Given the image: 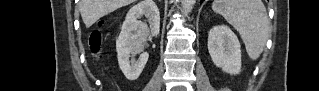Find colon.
I'll return each instance as SVG.
<instances>
[{
    "instance_id": "colon-1",
    "label": "colon",
    "mask_w": 319,
    "mask_h": 91,
    "mask_svg": "<svg viewBox=\"0 0 319 91\" xmlns=\"http://www.w3.org/2000/svg\"><path fill=\"white\" fill-rule=\"evenodd\" d=\"M101 43H102V33H101V31L99 29L98 30H94L90 34L89 39H88V44H89V47H90L91 51L93 53H98L99 50H100Z\"/></svg>"
}]
</instances>
